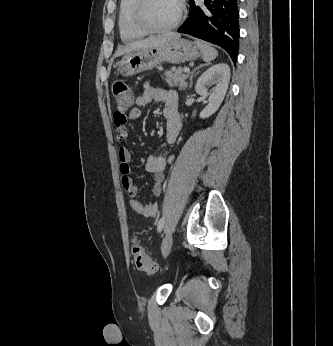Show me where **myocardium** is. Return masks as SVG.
<instances>
[{"label":"myocardium","instance_id":"myocardium-1","mask_svg":"<svg viewBox=\"0 0 333 346\" xmlns=\"http://www.w3.org/2000/svg\"><path fill=\"white\" fill-rule=\"evenodd\" d=\"M148 3H149V0H137L135 8H134V20L137 26L141 28L143 31H145L146 33H153V34L165 33L177 27L178 24L181 22L184 15V9H185L183 0H178V10L172 22L162 27L154 26L149 21L147 17Z\"/></svg>","mask_w":333,"mask_h":346}]
</instances>
